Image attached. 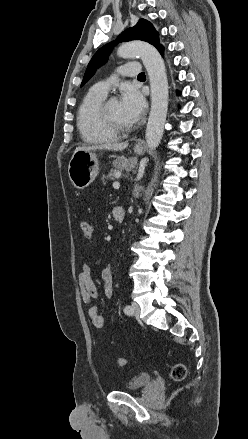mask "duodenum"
<instances>
[{
    "label": "duodenum",
    "instance_id": "duodenum-1",
    "mask_svg": "<svg viewBox=\"0 0 248 439\" xmlns=\"http://www.w3.org/2000/svg\"><path fill=\"white\" fill-rule=\"evenodd\" d=\"M112 213L114 220L118 223L122 222L125 218V211L122 207H114Z\"/></svg>",
    "mask_w": 248,
    "mask_h": 439
}]
</instances>
